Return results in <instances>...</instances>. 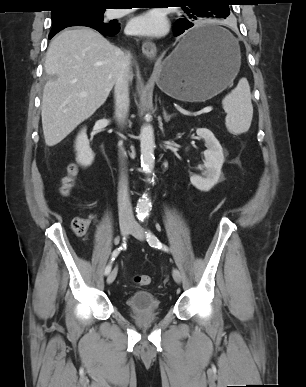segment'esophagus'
Here are the masks:
<instances>
[{
	"label": "esophagus",
	"instance_id": "1",
	"mask_svg": "<svg viewBox=\"0 0 306 387\" xmlns=\"http://www.w3.org/2000/svg\"><path fill=\"white\" fill-rule=\"evenodd\" d=\"M143 54L150 60H154L157 54V47L154 42L146 40L142 45Z\"/></svg>",
	"mask_w": 306,
	"mask_h": 387
}]
</instances>
